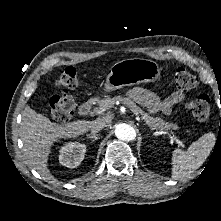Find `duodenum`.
Instances as JSON below:
<instances>
[{"mask_svg": "<svg viewBox=\"0 0 221 221\" xmlns=\"http://www.w3.org/2000/svg\"><path fill=\"white\" fill-rule=\"evenodd\" d=\"M93 105H94V100L90 99L85 101L80 105L78 109V115L81 117L87 116L91 112Z\"/></svg>", "mask_w": 221, "mask_h": 221, "instance_id": "1", "label": "duodenum"}]
</instances>
